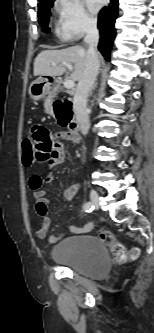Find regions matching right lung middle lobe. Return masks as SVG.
Here are the masks:
<instances>
[{
    "mask_svg": "<svg viewBox=\"0 0 154 333\" xmlns=\"http://www.w3.org/2000/svg\"><path fill=\"white\" fill-rule=\"evenodd\" d=\"M55 0H42L38 4L39 13V24L44 32H48L50 29L48 27L50 8L52 7Z\"/></svg>",
    "mask_w": 154,
    "mask_h": 333,
    "instance_id": "obj_1",
    "label": "right lung middle lobe"
}]
</instances>
